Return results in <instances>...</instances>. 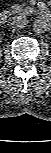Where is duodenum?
<instances>
[{
	"instance_id": "410a0bca",
	"label": "duodenum",
	"mask_w": 51,
	"mask_h": 153,
	"mask_svg": "<svg viewBox=\"0 0 51 153\" xmlns=\"http://www.w3.org/2000/svg\"><path fill=\"white\" fill-rule=\"evenodd\" d=\"M37 15L42 17V18H44V19H46V20H50L51 19V14L47 10H40V11H38ZM10 17H11V11H9V10H2L0 12V22L2 24L7 23L8 20L10 19Z\"/></svg>"
}]
</instances>
